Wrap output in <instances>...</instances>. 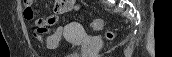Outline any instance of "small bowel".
Returning a JSON list of instances; mask_svg holds the SVG:
<instances>
[{"label":"small bowel","instance_id":"small-bowel-1","mask_svg":"<svg viewBox=\"0 0 172 57\" xmlns=\"http://www.w3.org/2000/svg\"><path fill=\"white\" fill-rule=\"evenodd\" d=\"M75 1L73 0H56L53 4L54 14L46 19L38 18L35 20L33 26V34L34 36L43 43L47 48L54 49L58 46L59 41L62 36V32L60 30H56L52 34H48L52 27L59 20V15L71 10L74 6ZM25 7H30L32 9V0H24ZM24 18L26 20H32L34 18V12L31 17L27 16L24 13Z\"/></svg>","mask_w":172,"mask_h":57}]
</instances>
